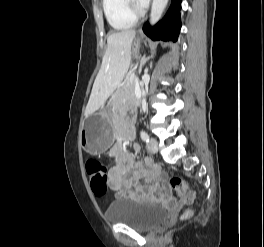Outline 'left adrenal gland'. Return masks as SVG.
<instances>
[{"label": "left adrenal gland", "mask_w": 264, "mask_h": 247, "mask_svg": "<svg viewBox=\"0 0 264 247\" xmlns=\"http://www.w3.org/2000/svg\"><path fill=\"white\" fill-rule=\"evenodd\" d=\"M152 57H153V55H151V56H149V57H146V56L144 55V56L142 57V59H141L140 70H141L142 66L145 65L146 62H147L150 58H152Z\"/></svg>", "instance_id": "1"}]
</instances>
